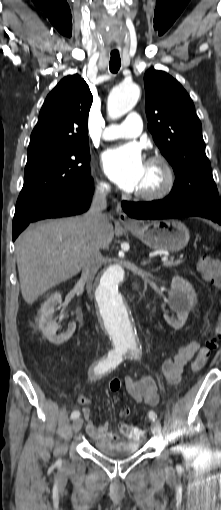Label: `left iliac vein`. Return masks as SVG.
<instances>
[{"mask_svg":"<svg viewBox=\"0 0 221 510\" xmlns=\"http://www.w3.org/2000/svg\"><path fill=\"white\" fill-rule=\"evenodd\" d=\"M151 432L156 437H161V425L160 422L154 420L151 424Z\"/></svg>","mask_w":221,"mask_h":510,"instance_id":"4c4485c4","label":"left iliac vein"}]
</instances>
